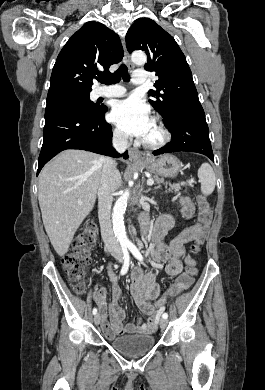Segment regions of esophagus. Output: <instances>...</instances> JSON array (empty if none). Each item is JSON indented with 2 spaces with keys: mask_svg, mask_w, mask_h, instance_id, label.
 <instances>
[{
  "mask_svg": "<svg viewBox=\"0 0 265 390\" xmlns=\"http://www.w3.org/2000/svg\"><path fill=\"white\" fill-rule=\"evenodd\" d=\"M124 61L128 65L129 69L132 70L133 65L131 63L130 55H129L125 45H124ZM129 157H130V160H132V161H140L142 158L140 151L136 148L129 149Z\"/></svg>",
  "mask_w": 265,
  "mask_h": 390,
  "instance_id": "esophagus-1",
  "label": "esophagus"
}]
</instances>
